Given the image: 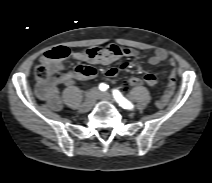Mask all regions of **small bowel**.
<instances>
[{
    "label": "small bowel",
    "instance_id": "small-bowel-1",
    "mask_svg": "<svg viewBox=\"0 0 212 183\" xmlns=\"http://www.w3.org/2000/svg\"><path fill=\"white\" fill-rule=\"evenodd\" d=\"M139 52L133 48L120 47L118 45L110 44L105 47H91L85 51H80L72 54V58L76 61L86 62L90 65L83 66L82 72H66L62 74V82L66 86L73 85L75 80L90 81L95 78L97 71L92 65H107L113 63L124 57H135ZM169 60L171 70L169 73L168 84L163 94L156 100V106L163 108L171 96L173 95L176 84V72L175 61L169 59L168 54L162 50L157 49L153 52L148 62L150 65H158L161 62ZM41 63L47 64L52 69L60 70L61 72L65 68V65L61 62H53L49 60L46 55L41 58ZM128 65L123 64L120 68H110L106 71L107 77H114L118 74L120 69H125ZM145 84L153 87L157 78L152 73H147L144 76ZM38 96L46 101L48 106L53 110H59L62 107V101L60 98L59 90L55 85H39L37 88Z\"/></svg>",
    "mask_w": 212,
    "mask_h": 183
}]
</instances>
